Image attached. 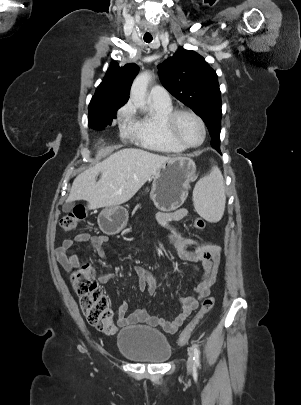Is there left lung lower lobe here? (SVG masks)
Here are the masks:
<instances>
[{
	"label": "left lung lower lobe",
	"mask_w": 301,
	"mask_h": 405,
	"mask_svg": "<svg viewBox=\"0 0 301 405\" xmlns=\"http://www.w3.org/2000/svg\"><path fill=\"white\" fill-rule=\"evenodd\" d=\"M211 145L213 148L220 152V144H218L215 140H211Z\"/></svg>",
	"instance_id": "0a47b994"
}]
</instances>
